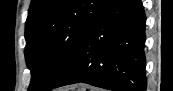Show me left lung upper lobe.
Here are the masks:
<instances>
[{
	"label": "left lung upper lobe",
	"instance_id": "obj_1",
	"mask_svg": "<svg viewBox=\"0 0 173 91\" xmlns=\"http://www.w3.org/2000/svg\"><path fill=\"white\" fill-rule=\"evenodd\" d=\"M111 0H32L25 27L28 91L56 87Z\"/></svg>",
	"mask_w": 173,
	"mask_h": 91
}]
</instances>
